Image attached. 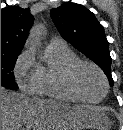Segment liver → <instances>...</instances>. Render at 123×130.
Returning a JSON list of instances; mask_svg holds the SVG:
<instances>
[{"instance_id": "1", "label": "liver", "mask_w": 123, "mask_h": 130, "mask_svg": "<svg viewBox=\"0 0 123 130\" xmlns=\"http://www.w3.org/2000/svg\"><path fill=\"white\" fill-rule=\"evenodd\" d=\"M103 115L97 107L30 98L1 87V130H73L100 128Z\"/></svg>"}]
</instances>
